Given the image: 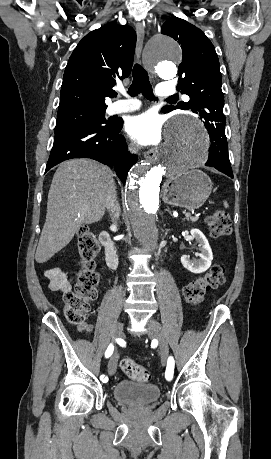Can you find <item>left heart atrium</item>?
Instances as JSON below:
<instances>
[{
    "mask_svg": "<svg viewBox=\"0 0 271 459\" xmlns=\"http://www.w3.org/2000/svg\"><path fill=\"white\" fill-rule=\"evenodd\" d=\"M127 132L136 144L154 146L163 138V120L155 113L146 112L130 119Z\"/></svg>",
    "mask_w": 271,
    "mask_h": 459,
    "instance_id": "1",
    "label": "left heart atrium"
}]
</instances>
